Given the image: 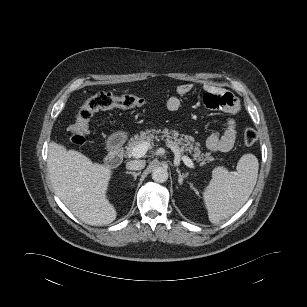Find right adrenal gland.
<instances>
[{"label": "right adrenal gland", "instance_id": "right-adrenal-gland-1", "mask_svg": "<svg viewBox=\"0 0 307 307\" xmlns=\"http://www.w3.org/2000/svg\"><path fill=\"white\" fill-rule=\"evenodd\" d=\"M125 173L132 175L134 177V180H136L137 176L140 175L141 172L136 173V172L126 171Z\"/></svg>", "mask_w": 307, "mask_h": 307}]
</instances>
